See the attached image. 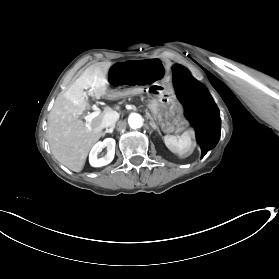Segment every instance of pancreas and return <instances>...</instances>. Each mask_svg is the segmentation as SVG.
<instances>
[{
	"mask_svg": "<svg viewBox=\"0 0 279 279\" xmlns=\"http://www.w3.org/2000/svg\"><path fill=\"white\" fill-rule=\"evenodd\" d=\"M112 98H113V99H117V98H119V97H115V96H114V97H112Z\"/></svg>",
	"mask_w": 279,
	"mask_h": 279,
	"instance_id": "obj_1",
	"label": "pancreas"
}]
</instances>
